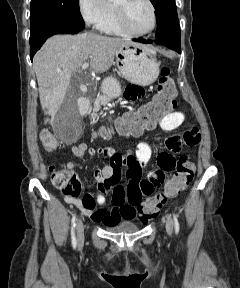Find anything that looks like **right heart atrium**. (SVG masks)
<instances>
[{
    "instance_id": "1",
    "label": "right heart atrium",
    "mask_w": 240,
    "mask_h": 288,
    "mask_svg": "<svg viewBox=\"0 0 240 288\" xmlns=\"http://www.w3.org/2000/svg\"><path fill=\"white\" fill-rule=\"evenodd\" d=\"M78 6L83 19L97 27H100L112 13L109 0H78Z\"/></svg>"
}]
</instances>
